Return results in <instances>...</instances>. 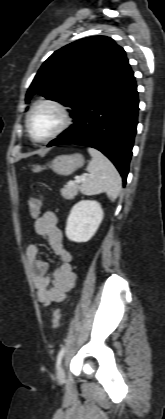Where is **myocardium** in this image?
<instances>
[{
  "mask_svg": "<svg viewBox=\"0 0 165 419\" xmlns=\"http://www.w3.org/2000/svg\"><path fill=\"white\" fill-rule=\"evenodd\" d=\"M41 106H50V107L56 109L58 111V113L60 114L61 121H60V124L58 125V127L50 135H48L47 137L42 138V139H37V138H35V136L32 133L30 122H31V118H32V115H33L34 111L38 107H41ZM70 123H71V116H70V113H69L67 107L63 103H61L57 100H54V99H42V100H39V101L35 102L31 106V108H30V110L27 114V117H26V129H27L28 135H29L30 139L32 141H34L35 143H46V142H49V141L55 139L56 137L61 135L69 127Z\"/></svg>",
  "mask_w": 165,
  "mask_h": 419,
  "instance_id": "myocardium-1",
  "label": "myocardium"
}]
</instances>
